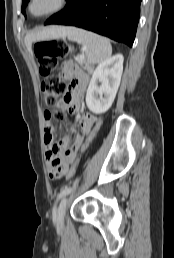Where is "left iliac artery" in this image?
Returning a JSON list of instances; mask_svg holds the SVG:
<instances>
[{
	"label": "left iliac artery",
	"instance_id": "1",
	"mask_svg": "<svg viewBox=\"0 0 174 258\" xmlns=\"http://www.w3.org/2000/svg\"><path fill=\"white\" fill-rule=\"evenodd\" d=\"M72 190H73V187H70V186L64 187V188L60 191V193L58 194L57 200H59L60 198H62V197L65 196V195L71 193ZM55 208H56V207H54V209H55Z\"/></svg>",
	"mask_w": 174,
	"mask_h": 258
}]
</instances>
